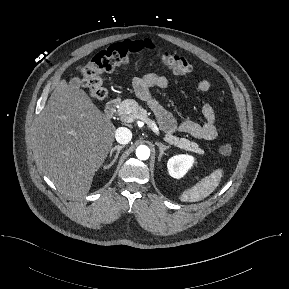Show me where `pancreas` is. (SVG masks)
<instances>
[{
    "label": "pancreas",
    "instance_id": "pancreas-1",
    "mask_svg": "<svg viewBox=\"0 0 289 289\" xmlns=\"http://www.w3.org/2000/svg\"><path fill=\"white\" fill-rule=\"evenodd\" d=\"M118 114L122 119L127 117H148L149 115V113L133 99H126L122 101L118 109ZM165 141H167L170 145H175L180 149L194 152L200 155L204 154V150L201 149L197 143L191 142L185 138H179L168 133L165 136Z\"/></svg>",
    "mask_w": 289,
    "mask_h": 289
}]
</instances>
